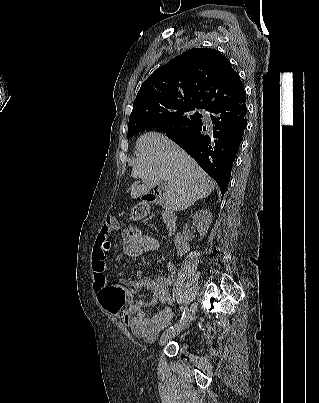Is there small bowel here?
<instances>
[{"label": "small bowel", "instance_id": "1", "mask_svg": "<svg viewBox=\"0 0 319 403\" xmlns=\"http://www.w3.org/2000/svg\"><path fill=\"white\" fill-rule=\"evenodd\" d=\"M119 230L120 225L117 223L116 213H105L103 224L99 225V235L92 252L94 290L101 303V310H108L111 315H117L135 337L144 342H152L173 316L171 279L164 275L157 277L148 275L127 280L128 285L124 283L123 279H114L113 284L107 283L106 255L115 253V246L111 245V238ZM124 250L126 252V243ZM116 259L120 261L121 256H117ZM167 267L169 271L173 270L171 263H168ZM139 290L150 292L151 300H141V295H137ZM157 303H162L165 307L157 313L149 315L147 309Z\"/></svg>", "mask_w": 319, "mask_h": 403}]
</instances>
